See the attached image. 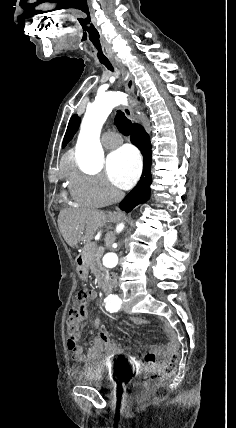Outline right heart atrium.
Masks as SVG:
<instances>
[{
	"instance_id": "d8ad5b80",
	"label": "right heart atrium",
	"mask_w": 236,
	"mask_h": 428,
	"mask_svg": "<svg viewBox=\"0 0 236 428\" xmlns=\"http://www.w3.org/2000/svg\"><path fill=\"white\" fill-rule=\"evenodd\" d=\"M70 191L82 206H109L122 196L104 177L80 172L71 174Z\"/></svg>"
}]
</instances>
